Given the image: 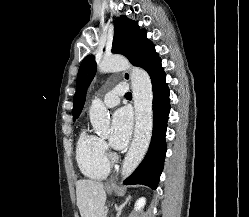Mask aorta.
<instances>
[{"instance_id": "obj_1", "label": "aorta", "mask_w": 249, "mask_h": 217, "mask_svg": "<svg viewBox=\"0 0 249 217\" xmlns=\"http://www.w3.org/2000/svg\"><path fill=\"white\" fill-rule=\"evenodd\" d=\"M131 70V84L135 108V130L131 146L122 166V177L127 178L142 161L150 144L153 128L152 83L148 73L140 68L131 67L120 56L105 57L99 65L100 72ZM90 121L97 133H105L109 128L108 112L100 99H94L90 107Z\"/></svg>"}]
</instances>
